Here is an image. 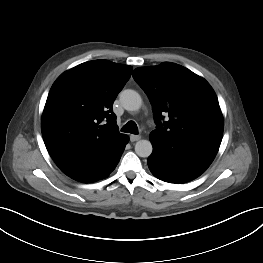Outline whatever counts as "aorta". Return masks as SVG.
I'll use <instances>...</instances> for the list:
<instances>
[{
	"instance_id": "obj_1",
	"label": "aorta",
	"mask_w": 263,
	"mask_h": 263,
	"mask_svg": "<svg viewBox=\"0 0 263 263\" xmlns=\"http://www.w3.org/2000/svg\"><path fill=\"white\" fill-rule=\"evenodd\" d=\"M122 106L128 111H137L142 105V99L138 92L127 89L120 93ZM153 147L149 140H139L135 144V152L139 157H149L152 154Z\"/></svg>"
}]
</instances>
